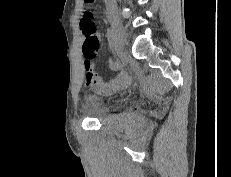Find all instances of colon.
I'll return each instance as SVG.
<instances>
[{"mask_svg":"<svg viewBox=\"0 0 231 177\" xmlns=\"http://www.w3.org/2000/svg\"><path fill=\"white\" fill-rule=\"evenodd\" d=\"M86 3H92L94 0H84ZM80 27L85 37L83 44V55L88 61H91L97 54L99 49V39L96 35V28L91 20L90 11H85L80 21Z\"/></svg>","mask_w":231,"mask_h":177,"instance_id":"obj_1","label":"colon"}]
</instances>
